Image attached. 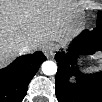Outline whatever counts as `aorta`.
Returning <instances> with one entry per match:
<instances>
[{
    "mask_svg": "<svg viewBox=\"0 0 102 102\" xmlns=\"http://www.w3.org/2000/svg\"><path fill=\"white\" fill-rule=\"evenodd\" d=\"M41 68L45 75H54L57 72V65L53 61H45Z\"/></svg>",
    "mask_w": 102,
    "mask_h": 102,
    "instance_id": "762f6f07",
    "label": "aorta"
}]
</instances>
